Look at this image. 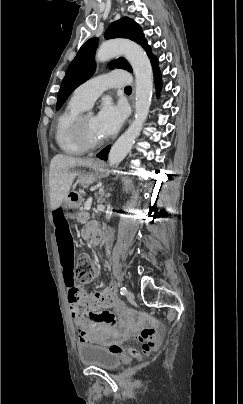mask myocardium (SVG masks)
<instances>
[{
	"label": "myocardium",
	"instance_id": "obj_1",
	"mask_svg": "<svg viewBox=\"0 0 243 404\" xmlns=\"http://www.w3.org/2000/svg\"><path fill=\"white\" fill-rule=\"evenodd\" d=\"M95 33L98 35L101 34V32H95ZM89 34H91V32ZM88 114L89 113H82L75 119V121L73 122V125H72V132H73V135L75 136L76 140L82 146H84L86 149L92 150V149H96V148L100 147L102 142H101V140H98V141L90 140L85 135V132L83 129V123H84L85 117Z\"/></svg>",
	"mask_w": 243,
	"mask_h": 404
}]
</instances>
